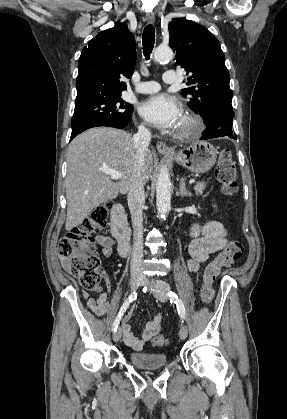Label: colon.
I'll use <instances>...</instances> for the list:
<instances>
[{
	"label": "colon",
	"instance_id": "obj_1",
	"mask_svg": "<svg viewBox=\"0 0 287 419\" xmlns=\"http://www.w3.org/2000/svg\"><path fill=\"white\" fill-rule=\"evenodd\" d=\"M216 177L222 191L227 196H234L238 191L237 169L230 150L224 149L216 167ZM111 204L106 202L96 206L87 217L70 233L62 237L59 252L69 262L71 273L79 280L83 289L97 292L101 282V259L96 253L93 234L103 230L107 225ZM244 254V247L238 240H231L214 260L209 262L203 276L201 300L209 304L215 294L213 283L223 267L239 261ZM152 345L164 348L168 339L156 335L151 339Z\"/></svg>",
	"mask_w": 287,
	"mask_h": 419
}]
</instances>
